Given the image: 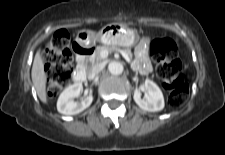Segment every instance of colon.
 <instances>
[{
    "label": "colon",
    "mask_w": 225,
    "mask_h": 155,
    "mask_svg": "<svg viewBox=\"0 0 225 155\" xmlns=\"http://www.w3.org/2000/svg\"><path fill=\"white\" fill-rule=\"evenodd\" d=\"M69 42L68 32L59 30L46 47L44 60L49 97L56 96L71 80L73 57ZM149 52L156 62V73L169 92L168 104L173 108L181 107L188 98L189 85L182 73L175 42L169 38L155 39L150 44Z\"/></svg>",
    "instance_id": "obj_1"
}]
</instances>
